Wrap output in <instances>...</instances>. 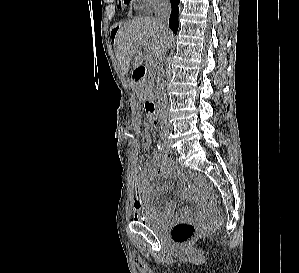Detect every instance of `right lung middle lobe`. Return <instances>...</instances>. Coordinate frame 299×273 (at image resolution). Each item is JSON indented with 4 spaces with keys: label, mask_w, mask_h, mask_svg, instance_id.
I'll return each mask as SVG.
<instances>
[{
    "label": "right lung middle lobe",
    "mask_w": 299,
    "mask_h": 273,
    "mask_svg": "<svg viewBox=\"0 0 299 273\" xmlns=\"http://www.w3.org/2000/svg\"><path fill=\"white\" fill-rule=\"evenodd\" d=\"M130 2V0H124V3L128 4ZM121 5L119 4L118 7H120Z\"/></svg>",
    "instance_id": "1"
}]
</instances>
